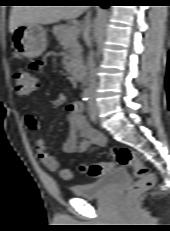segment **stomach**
I'll return each instance as SVG.
<instances>
[{"mask_svg": "<svg viewBox=\"0 0 170 231\" xmlns=\"http://www.w3.org/2000/svg\"><path fill=\"white\" fill-rule=\"evenodd\" d=\"M12 44L20 55L27 58L38 57L47 47L46 30L39 24L21 25L12 33Z\"/></svg>", "mask_w": 170, "mask_h": 231, "instance_id": "1", "label": "stomach"}]
</instances>
